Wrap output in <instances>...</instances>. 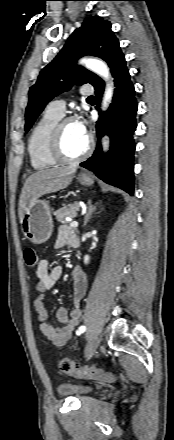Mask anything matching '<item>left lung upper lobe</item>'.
<instances>
[{"mask_svg": "<svg viewBox=\"0 0 174 440\" xmlns=\"http://www.w3.org/2000/svg\"><path fill=\"white\" fill-rule=\"evenodd\" d=\"M121 52L119 41L111 30L109 21L103 18H87L42 71L37 82L30 88L29 103L25 113V130L28 131L46 104L55 96L68 90L73 84L95 85L99 77L75 61L84 55L98 56L107 63Z\"/></svg>", "mask_w": 174, "mask_h": 440, "instance_id": "5c2ea615", "label": "left lung upper lobe"}]
</instances>
